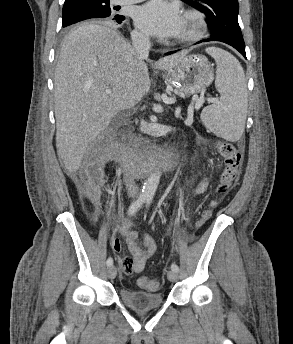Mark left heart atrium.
I'll return each instance as SVG.
<instances>
[{
    "instance_id": "left-heart-atrium-1",
    "label": "left heart atrium",
    "mask_w": 293,
    "mask_h": 344,
    "mask_svg": "<svg viewBox=\"0 0 293 344\" xmlns=\"http://www.w3.org/2000/svg\"><path fill=\"white\" fill-rule=\"evenodd\" d=\"M134 20L143 32L162 39L177 36L184 21L178 6L164 0H152L139 7Z\"/></svg>"
}]
</instances>
